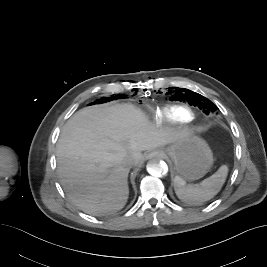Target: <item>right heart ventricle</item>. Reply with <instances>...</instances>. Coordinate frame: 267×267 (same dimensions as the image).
I'll use <instances>...</instances> for the list:
<instances>
[{"instance_id":"right-heart-ventricle-1","label":"right heart ventricle","mask_w":267,"mask_h":267,"mask_svg":"<svg viewBox=\"0 0 267 267\" xmlns=\"http://www.w3.org/2000/svg\"><path fill=\"white\" fill-rule=\"evenodd\" d=\"M153 115L155 119H167L180 125L188 124L194 117L193 112L182 105L159 107L154 110Z\"/></svg>"}]
</instances>
